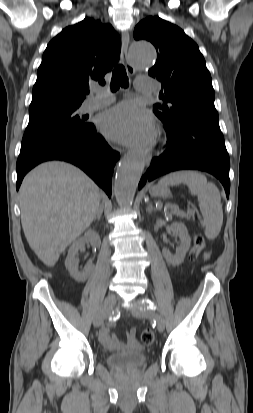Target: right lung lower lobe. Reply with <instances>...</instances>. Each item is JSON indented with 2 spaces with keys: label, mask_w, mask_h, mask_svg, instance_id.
<instances>
[{
  "label": "right lung lower lobe",
  "mask_w": 253,
  "mask_h": 413,
  "mask_svg": "<svg viewBox=\"0 0 253 413\" xmlns=\"http://www.w3.org/2000/svg\"><path fill=\"white\" fill-rule=\"evenodd\" d=\"M119 158L120 154L109 147L90 123L84 131L21 145L16 188L19 189L25 174L39 163L63 160L81 168L111 197L112 174Z\"/></svg>",
  "instance_id": "right-lung-lower-lobe-1"
}]
</instances>
